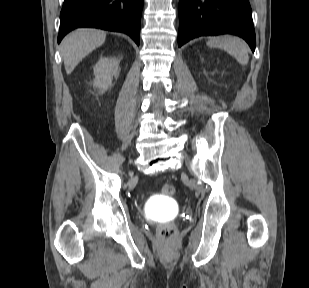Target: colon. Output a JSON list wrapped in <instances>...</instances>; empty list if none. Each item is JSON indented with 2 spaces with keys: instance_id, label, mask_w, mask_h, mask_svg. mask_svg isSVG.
Listing matches in <instances>:
<instances>
[{
  "instance_id": "5ec220e1",
  "label": "colon",
  "mask_w": 309,
  "mask_h": 288,
  "mask_svg": "<svg viewBox=\"0 0 309 288\" xmlns=\"http://www.w3.org/2000/svg\"><path fill=\"white\" fill-rule=\"evenodd\" d=\"M163 195L171 196L175 192V188L170 184H164L161 187ZM176 235V228L172 224H163L159 230V237L164 241L172 240Z\"/></svg>"
}]
</instances>
